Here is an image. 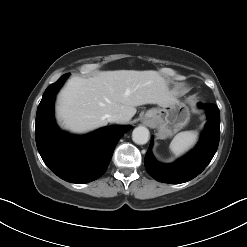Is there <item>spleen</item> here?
Returning a JSON list of instances; mask_svg holds the SVG:
<instances>
[{
    "label": "spleen",
    "mask_w": 247,
    "mask_h": 247,
    "mask_svg": "<svg viewBox=\"0 0 247 247\" xmlns=\"http://www.w3.org/2000/svg\"><path fill=\"white\" fill-rule=\"evenodd\" d=\"M198 139L197 131H184L178 133L170 143L171 151L180 156L190 149Z\"/></svg>",
    "instance_id": "spleen-1"
}]
</instances>
